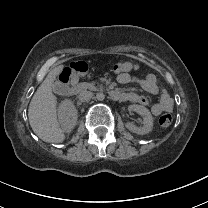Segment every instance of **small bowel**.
Here are the masks:
<instances>
[{
    "label": "small bowel",
    "instance_id": "small-bowel-1",
    "mask_svg": "<svg viewBox=\"0 0 208 208\" xmlns=\"http://www.w3.org/2000/svg\"><path fill=\"white\" fill-rule=\"evenodd\" d=\"M117 80L120 84H137L143 90L150 94H159L160 100L151 108L152 113L158 116L162 113L170 112L173 108V101L168 90L158 82L156 76L150 74L146 77L132 76L127 73L119 74ZM129 101L137 102L143 106L148 104V99L145 96L136 93L126 94Z\"/></svg>",
    "mask_w": 208,
    "mask_h": 208
}]
</instances>
